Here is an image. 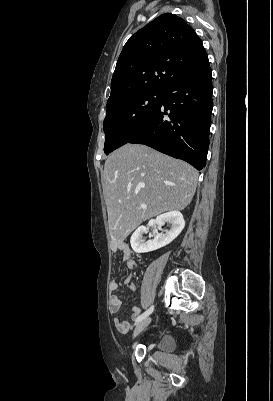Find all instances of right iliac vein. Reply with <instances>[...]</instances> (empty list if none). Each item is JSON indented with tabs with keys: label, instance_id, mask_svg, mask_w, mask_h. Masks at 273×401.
Returning a JSON list of instances; mask_svg holds the SVG:
<instances>
[{
	"label": "right iliac vein",
	"instance_id": "63e3f726",
	"mask_svg": "<svg viewBox=\"0 0 273 401\" xmlns=\"http://www.w3.org/2000/svg\"><path fill=\"white\" fill-rule=\"evenodd\" d=\"M151 322V318L147 317L143 319L142 321L138 322L136 324L134 333H133V338H135L140 332H142Z\"/></svg>",
	"mask_w": 273,
	"mask_h": 401
}]
</instances>
